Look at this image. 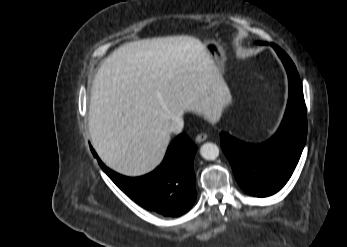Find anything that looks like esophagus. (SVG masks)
<instances>
[{
  "label": "esophagus",
  "instance_id": "1",
  "mask_svg": "<svg viewBox=\"0 0 347 247\" xmlns=\"http://www.w3.org/2000/svg\"><path fill=\"white\" fill-rule=\"evenodd\" d=\"M207 139V134L205 133H200L196 136V142L197 143H201V142H204L205 140Z\"/></svg>",
  "mask_w": 347,
  "mask_h": 247
}]
</instances>
